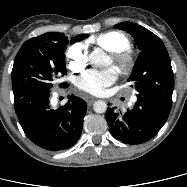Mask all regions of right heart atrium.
<instances>
[{
	"mask_svg": "<svg viewBox=\"0 0 187 187\" xmlns=\"http://www.w3.org/2000/svg\"><path fill=\"white\" fill-rule=\"evenodd\" d=\"M66 59L73 72L83 71L88 62V46L83 42L72 45L67 51Z\"/></svg>",
	"mask_w": 187,
	"mask_h": 187,
	"instance_id": "d8ad5b80",
	"label": "right heart atrium"
}]
</instances>
